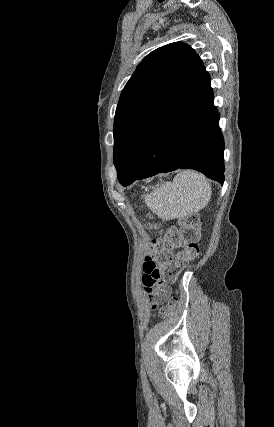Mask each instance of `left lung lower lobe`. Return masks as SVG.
Masks as SVG:
<instances>
[{"instance_id":"obj_1","label":"left lung lower lobe","mask_w":274,"mask_h":427,"mask_svg":"<svg viewBox=\"0 0 274 427\" xmlns=\"http://www.w3.org/2000/svg\"><path fill=\"white\" fill-rule=\"evenodd\" d=\"M223 150L219 113L203 67L152 125L131 169L118 175V180L127 186L158 173L189 168L223 184Z\"/></svg>"}]
</instances>
